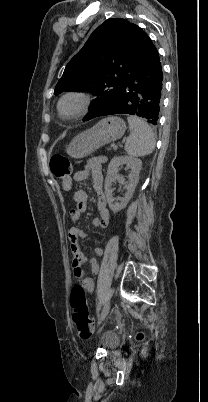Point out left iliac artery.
Wrapping results in <instances>:
<instances>
[{
  "instance_id": "obj_1",
  "label": "left iliac artery",
  "mask_w": 208,
  "mask_h": 402,
  "mask_svg": "<svg viewBox=\"0 0 208 402\" xmlns=\"http://www.w3.org/2000/svg\"><path fill=\"white\" fill-rule=\"evenodd\" d=\"M99 310H100V305L97 306V311L99 312Z\"/></svg>"
}]
</instances>
